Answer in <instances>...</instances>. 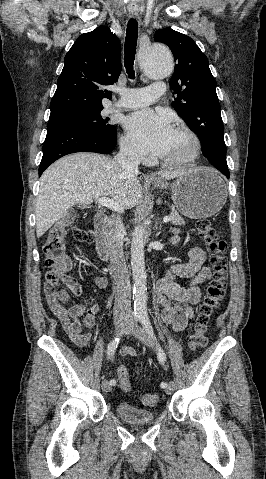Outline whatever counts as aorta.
<instances>
[{
  "label": "aorta",
  "mask_w": 266,
  "mask_h": 479,
  "mask_svg": "<svg viewBox=\"0 0 266 479\" xmlns=\"http://www.w3.org/2000/svg\"><path fill=\"white\" fill-rule=\"evenodd\" d=\"M138 63L145 74L154 79H164L173 71V57L170 50L162 44H151L138 54ZM131 267L134 281L133 299L136 314L147 312V287L145 270V252L142 230L133 232L131 242Z\"/></svg>",
  "instance_id": "1"
}]
</instances>
